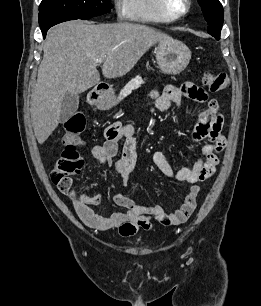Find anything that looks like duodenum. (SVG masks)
<instances>
[{"label":"duodenum","instance_id":"1","mask_svg":"<svg viewBox=\"0 0 261 306\" xmlns=\"http://www.w3.org/2000/svg\"><path fill=\"white\" fill-rule=\"evenodd\" d=\"M110 88L106 84H99L93 91L91 100L94 104H100L109 96Z\"/></svg>","mask_w":261,"mask_h":306}]
</instances>
